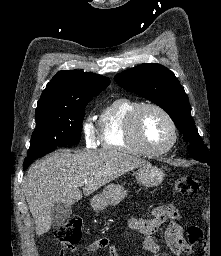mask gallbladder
<instances>
[{"label": "gallbladder", "instance_id": "bac80fb5", "mask_svg": "<svg viewBox=\"0 0 221 256\" xmlns=\"http://www.w3.org/2000/svg\"><path fill=\"white\" fill-rule=\"evenodd\" d=\"M51 214L53 226H60L72 214V207L71 205L57 202L52 207Z\"/></svg>", "mask_w": 221, "mask_h": 256}]
</instances>
